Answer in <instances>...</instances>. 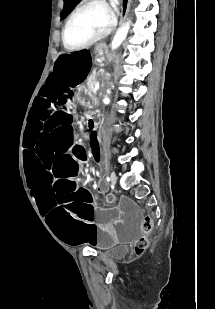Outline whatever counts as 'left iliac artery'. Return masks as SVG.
I'll return each instance as SVG.
<instances>
[{
	"label": "left iliac artery",
	"mask_w": 215,
	"mask_h": 309,
	"mask_svg": "<svg viewBox=\"0 0 215 309\" xmlns=\"http://www.w3.org/2000/svg\"><path fill=\"white\" fill-rule=\"evenodd\" d=\"M106 180H107V182H109V181H110V178H109V177H107V178H106Z\"/></svg>",
	"instance_id": "left-iliac-artery-1"
}]
</instances>
